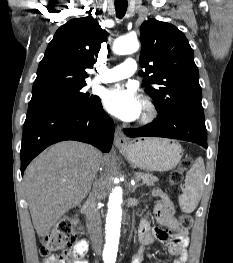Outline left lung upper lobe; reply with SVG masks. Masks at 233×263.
<instances>
[{
	"instance_id": "5c2ea615",
	"label": "left lung upper lobe",
	"mask_w": 233,
	"mask_h": 263,
	"mask_svg": "<svg viewBox=\"0 0 233 263\" xmlns=\"http://www.w3.org/2000/svg\"><path fill=\"white\" fill-rule=\"evenodd\" d=\"M141 43L145 72L140 75L158 116L183 109L203 111L198 68L185 35L172 24L149 19L141 26Z\"/></svg>"
}]
</instances>
